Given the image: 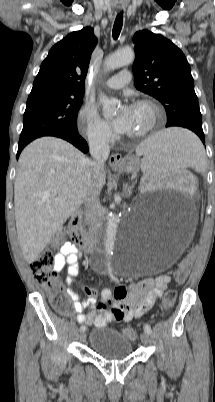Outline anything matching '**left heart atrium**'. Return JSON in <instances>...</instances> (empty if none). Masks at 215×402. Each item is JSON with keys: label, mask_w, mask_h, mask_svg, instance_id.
<instances>
[{"label": "left heart atrium", "mask_w": 215, "mask_h": 402, "mask_svg": "<svg viewBox=\"0 0 215 402\" xmlns=\"http://www.w3.org/2000/svg\"><path fill=\"white\" fill-rule=\"evenodd\" d=\"M113 128L119 133H128L132 123V107L124 104L112 120Z\"/></svg>", "instance_id": "1"}]
</instances>
